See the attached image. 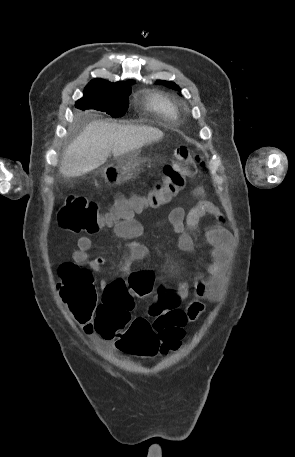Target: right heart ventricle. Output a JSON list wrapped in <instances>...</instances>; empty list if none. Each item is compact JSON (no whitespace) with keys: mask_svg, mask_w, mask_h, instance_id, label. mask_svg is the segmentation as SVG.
Returning <instances> with one entry per match:
<instances>
[{"mask_svg":"<svg viewBox=\"0 0 295 457\" xmlns=\"http://www.w3.org/2000/svg\"><path fill=\"white\" fill-rule=\"evenodd\" d=\"M146 105L151 111L157 113L165 119L174 120L179 114V109L176 103L161 93H149L147 95Z\"/></svg>","mask_w":295,"mask_h":457,"instance_id":"right-heart-ventricle-1","label":"right heart ventricle"}]
</instances>
